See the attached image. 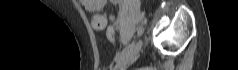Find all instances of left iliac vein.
Masks as SVG:
<instances>
[{"label":"left iliac vein","instance_id":"1","mask_svg":"<svg viewBox=\"0 0 238 70\" xmlns=\"http://www.w3.org/2000/svg\"><path fill=\"white\" fill-rule=\"evenodd\" d=\"M142 47V40H139L134 46L133 50H130L123 58L116 62V64L112 67V70L122 69L126 65H128L134 57L138 54Z\"/></svg>","mask_w":238,"mask_h":70}]
</instances>
